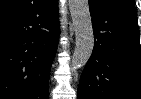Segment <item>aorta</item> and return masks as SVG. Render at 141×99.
I'll return each mask as SVG.
<instances>
[{
    "label": "aorta",
    "instance_id": "obj_1",
    "mask_svg": "<svg viewBox=\"0 0 141 99\" xmlns=\"http://www.w3.org/2000/svg\"><path fill=\"white\" fill-rule=\"evenodd\" d=\"M68 5L76 40L71 67L79 69L86 65L93 51L92 20L88 0H69Z\"/></svg>",
    "mask_w": 141,
    "mask_h": 99
}]
</instances>
